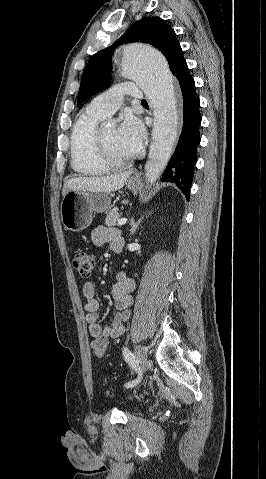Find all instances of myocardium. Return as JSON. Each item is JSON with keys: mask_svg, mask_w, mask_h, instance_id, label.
<instances>
[{"mask_svg": "<svg viewBox=\"0 0 266 479\" xmlns=\"http://www.w3.org/2000/svg\"><path fill=\"white\" fill-rule=\"evenodd\" d=\"M96 146H97V155L99 160L109 169V170H119L130 164V159L117 160L111 154L107 147L105 138L103 136L102 130H97L96 133Z\"/></svg>", "mask_w": 266, "mask_h": 479, "instance_id": "myocardium-1", "label": "myocardium"}]
</instances>
